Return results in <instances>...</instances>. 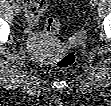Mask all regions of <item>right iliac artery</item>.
Here are the masks:
<instances>
[{
	"label": "right iliac artery",
	"instance_id": "right-iliac-artery-1",
	"mask_svg": "<svg viewBox=\"0 0 111 106\" xmlns=\"http://www.w3.org/2000/svg\"><path fill=\"white\" fill-rule=\"evenodd\" d=\"M10 2L14 5L15 4V1L14 0H10Z\"/></svg>",
	"mask_w": 111,
	"mask_h": 106
}]
</instances>
